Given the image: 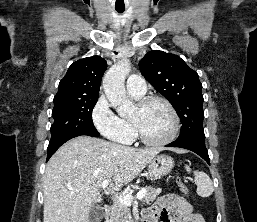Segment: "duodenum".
<instances>
[{"label": "duodenum", "mask_w": 257, "mask_h": 222, "mask_svg": "<svg viewBox=\"0 0 257 222\" xmlns=\"http://www.w3.org/2000/svg\"><path fill=\"white\" fill-rule=\"evenodd\" d=\"M103 210H104L105 217H108L111 212V207L109 205H104Z\"/></svg>", "instance_id": "duodenum-1"}]
</instances>
